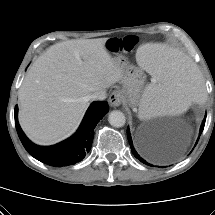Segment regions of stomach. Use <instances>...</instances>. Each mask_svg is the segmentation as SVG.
Here are the masks:
<instances>
[{
  "label": "stomach",
  "instance_id": "stomach-1",
  "mask_svg": "<svg viewBox=\"0 0 215 215\" xmlns=\"http://www.w3.org/2000/svg\"><path fill=\"white\" fill-rule=\"evenodd\" d=\"M114 60L120 64L123 71L121 92L129 105L134 107L138 104L140 90L144 81L142 69L134 67L124 56L121 55H116Z\"/></svg>",
  "mask_w": 215,
  "mask_h": 215
}]
</instances>
